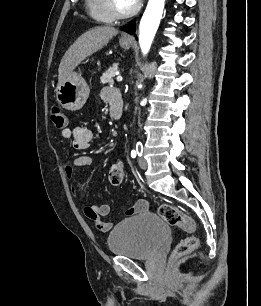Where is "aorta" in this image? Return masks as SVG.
Instances as JSON below:
<instances>
[{
  "label": "aorta",
  "mask_w": 261,
  "mask_h": 306,
  "mask_svg": "<svg viewBox=\"0 0 261 306\" xmlns=\"http://www.w3.org/2000/svg\"><path fill=\"white\" fill-rule=\"evenodd\" d=\"M165 0H149L139 25V44L142 53L149 52L162 18Z\"/></svg>",
  "instance_id": "762f6f07"
}]
</instances>
